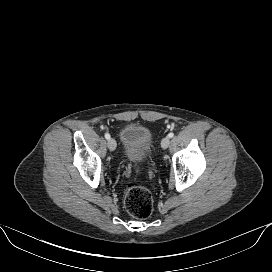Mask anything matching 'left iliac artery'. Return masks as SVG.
I'll return each instance as SVG.
<instances>
[{
    "instance_id": "44dca946",
    "label": "left iliac artery",
    "mask_w": 272,
    "mask_h": 272,
    "mask_svg": "<svg viewBox=\"0 0 272 272\" xmlns=\"http://www.w3.org/2000/svg\"><path fill=\"white\" fill-rule=\"evenodd\" d=\"M174 136V133H172V132H170L169 134H168V137L169 138H172Z\"/></svg>"
}]
</instances>
